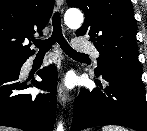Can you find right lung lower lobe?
Returning a JSON list of instances; mask_svg holds the SVG:
<instances>
[{
    "instance_id": "1",
    "label": "right lung lower lobe",
    "mask_w": 147,
    "mask_h": 131,
    "mask_svg": "<svg viewBox=\"0 0 147 131\" xmlns=\"http://www.w3.org/2000/svg\"><path fill=\"white\" fill-rule=\"evenodd\" d=\"M20 69L0 72V126L23 131H52L56 115V68L53 65L38 71L42 82L33 81L31 85L19 80ZM32 85L49 93L32 97L19 92Z\"/></svg>"
}]
</instances>
